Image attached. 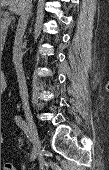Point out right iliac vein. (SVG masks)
Masks as SVG:
<instances>
[{
    "label": "right iliac vein",
    "instance_id": "1",
    "mask_svg": "<svg viewBox=\"0 0 109 170\" xmlns=\"http://www.w3.org/2000/svg\"><path fill=\"white\" fill-rule=\"evenodd\" d=\"M25 117H26L28 127H29V138L33 144V151H32V155H31V159L34 160L38 157V155L40 153L41 142H40L37 128H36V125L34 123L31 113L29 111H25Z\"/></svg>",
    "mask_w": 109,
    "mask_h": 170
}]
</instances>
